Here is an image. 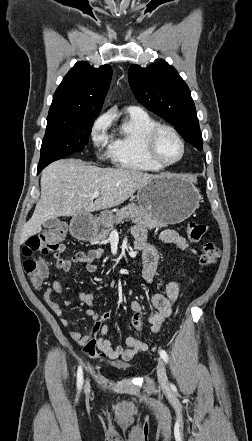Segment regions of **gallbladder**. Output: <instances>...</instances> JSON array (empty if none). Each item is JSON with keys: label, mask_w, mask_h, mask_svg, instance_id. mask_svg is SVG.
Segmentation results:
<instances>
[{"label": "gallbladder", "mask_w": 252, "mask_h": 441, "mask_svg": "<svg viewBox=\"0 0 252 441\" xmlns=\"http://www.w3.org/2000/svg\"><path fill=\"white\" fill-rule=\"evenodd\" d=\"M60 224V220L58 218H52L43 223L44 228H53Z\"/></svg>", "instance_id": "1"}]
</instances>
